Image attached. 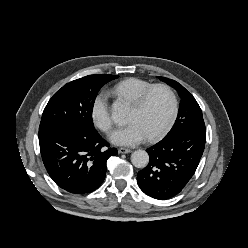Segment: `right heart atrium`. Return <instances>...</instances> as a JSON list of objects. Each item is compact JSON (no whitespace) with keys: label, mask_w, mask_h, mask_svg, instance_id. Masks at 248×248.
<instances>
[{"label":"right heart atrium","mask_w":248,"mask_h":248,"mask_svg":"<svg viewBox=\"0 0 248 248\" xmlns=\"http://www.w3.org/2000/svg\"><path fill=\"white\" fill-rule=\"evenodd\" d=\"M108 101V94L100 92L96 95L91 105V119L94 125L106 133L110 132L113 127Z\"/></svg>","instance_id":"1"}]
</instances>
